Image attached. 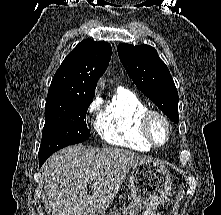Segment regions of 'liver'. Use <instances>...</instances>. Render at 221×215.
<instances>
[{"label":"liver","instance_id":"1","mask_svg":"<svg viewBox=\"0 0 221 215\" xmlns=\"http://www.w3.org/2000/svg\"><path fill=\"white\" fill-rule=\"evenodd\" d=\"M149 161L120 148H64L43 165L42 174L52 215L103 213L113 203L129 170ZM92 183L91 195L88 184Z\"/></svg>","mask_w":221,"mask_h":215}]
</instances>
